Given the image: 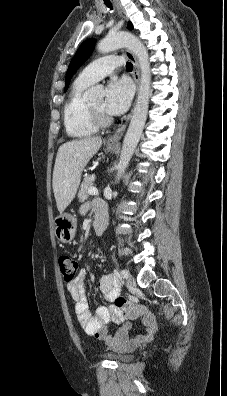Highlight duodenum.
Here are the masks:
<instances>
[{"label":"duodenum","instance_id":"1","mask_svg":"<svg viewBox=\"0 0 227 396\" xmlns=\"http://www.w3.org/2000/svg\"><path fill=\"white\" fill-rule=\"evenodd\" d=\"M107 220L105 214H100L95 218L94 230L97 234H101L106 228Z\"/></svg>","mask_w":227,"mask_h":396}]
</instances>
